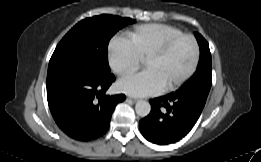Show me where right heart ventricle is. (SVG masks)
<instances>
[{"mask_svg": "<svg viewBox=\"0 0 261 162\" xmlns=\"http://www.w3.org/2000/svg\"><path fill=\"white\" fill-rule=\"evenodd\" d=\"M179 34H182V31L177 27L150 23L135 26L127 32V37L136 54L144 59L163 42Z\"/></svg>", "mask_w": 261, "mask_h": 162, "instance_id": "e07e8e85", "label": "right heart ventricle"}]
</instances>
